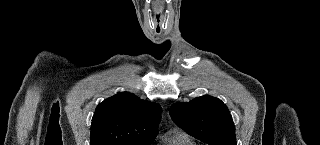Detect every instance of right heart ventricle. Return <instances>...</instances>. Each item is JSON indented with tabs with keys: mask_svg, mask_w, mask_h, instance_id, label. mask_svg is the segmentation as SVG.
Wrapping results in <instances>:
<instances>
[{
	"mask_svg": "<svg viewBox=\"0 0 320 145\" xmlns=\"http://www.w3.org/2000/svg\"><path fill=\"white\" fill-rule=\"evenodd\" d=\"M163 145H197L186 133L178 132L164 141Z\"/></svg>",
	"mask_w": 320,
	"mask_h": 145,
	"instance_id": "obj_1",
	"label": "right heart ventricle"
}]
</instances>
